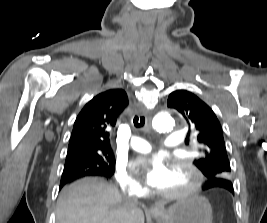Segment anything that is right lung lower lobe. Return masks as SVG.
<instances>
[{"label": "right lung lower lobe", "mask_w": 267, "mask_h": 223, "mask_svg": "<svg viewBox=\"0 0 267 223\" xmlns=\"http://www.w3.org/2000/svg\"><path fill=\"white\" fill-rule=\"evenodd\" d=\"M85 176H102V175H98V174L90 175V174L83 173V172H80V171H73V172H64L63 171L61 182H60V189L66 183H69V182H71L73 180H76L78 178L85 177Z\"/></svg>", "instance_id": "obj_1"}]
</instances>
